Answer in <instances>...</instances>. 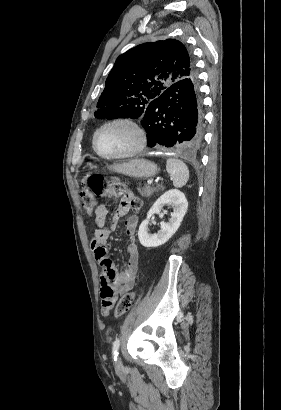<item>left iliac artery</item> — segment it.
<instances>
[{
	"label": "left iliac artery",
	"instance_id": "44dca946",
	"mask_svg": "<svg viewBox=\"0 0 281 410\" xmlns=\"http://www.w3.org/2000/svg\"><path fill=\"white\" fill-rule=\"evenodd\" d=\"M119 346H120V339H116L115 342L113 343V348H112V354L114 361L117 360L118 357V351H119Z\"/></svg>",
	"mask_w": 281,
	"mask_h": 410
}]
</instances>
